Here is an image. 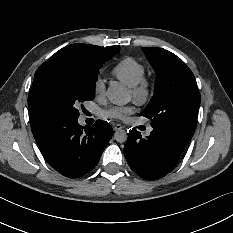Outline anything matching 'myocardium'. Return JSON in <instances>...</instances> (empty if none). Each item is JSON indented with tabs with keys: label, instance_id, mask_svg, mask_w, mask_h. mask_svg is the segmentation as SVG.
I'll use <instances>...</instances> for the list:
<instances>
[{
	"label": "myocardium",
	"instance_id": "myocardium-1",
	"mask_svg": "<svg viewBox=\"0 0 233 233\" xmlns=\"http://www.w3.org/2000/svg\"><path fill=\"white\" fill-rule=\"evenodd\" d=\"M130 92L139 103H146L152 94V81L143 77L137 84L130 87Z\"/></svg>",
	"mask_w": 233,
	"mask_h": 233
}]
</instances>
